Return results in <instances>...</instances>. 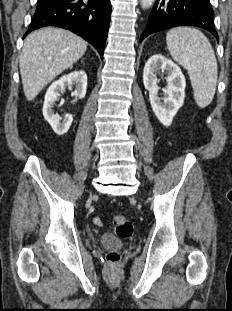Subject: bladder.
<instances>
[{"label": "bladder", "mask_w": 232, "mask_h": 311, "mask_svg": "<svg viewBox=\"0 0 232 311\" xmlns=\"http://www.w3.org/2000/svg\"><path fill=\"white\" fill-rule=\"evenodd\" d=\"M100 245L109 248H121L123 246V241L119 236L106 233L101 235Z\"/></svg>", "instance_id": "obj_1"}]
</instances>
